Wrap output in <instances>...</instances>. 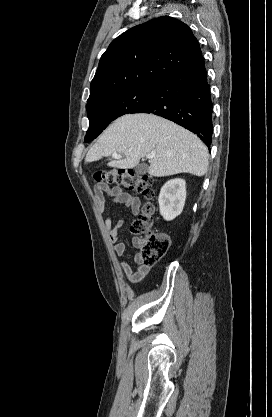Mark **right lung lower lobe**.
<instances>
[{
	"label": "right lung lower lobe",
	"mask_w": 272,
	"mask_h": 417,
	"mask_svg": "<svg viewBox=\"0 0 272 417\" xmlns=\"http://www.w3.org/2000/svg\"><path fill=\"white\" fill-rule=\"evenodd\" d=\"M212 105L201 55L172 73L133 113H153L169 119L197 134L209 147L213 132Z\"/></svg>",
	"instance_id": "98d812e1"
}]
</instances>
